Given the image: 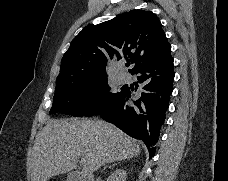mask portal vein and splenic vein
Masks as SVG:
<instances>
[{
    "instance_id": "obj_1",
    "label": "portal vein and splenic vein",
    "mask_w": 228,
    "mask_h": 181,
    "mask_svg": "<svg viewBox=\"0 0 228 181\" xmlns=\"http://www.w3.org/2000/svg\"><path fill=\"white\" fill-rule=\"evenodd\" d=\"M80 165H82L81 161H79ZM82 167H85V165H82Z\"/></svg>"
}]
</instances>
